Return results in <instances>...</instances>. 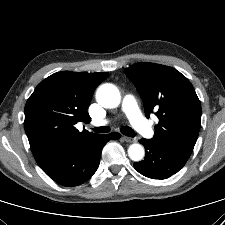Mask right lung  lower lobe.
<instances>
[{"label": "right lung lower lobe", "mask_w": 225, "mask_h": 225, "mask_svg": "<svg viewBox=\"0 0 225 225\" xmlns=\"http://www.w3.org/2000/svg\"><path fill=\"white\" fill-rule=\"evenodd\" d=\"M120 134H96L89 139L66 143L48 153L39 167L55 182L66 187L80 185L90 179L98 169L103 146Z\"/></svg>", "instance_id": "obj_1"}]
</instances>
